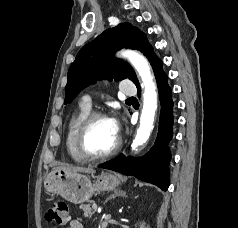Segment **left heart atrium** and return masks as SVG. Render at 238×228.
Listing matches in <instances>:
<instances>
[{"label":"left heart atrium","instance_id":"obj_1","mask_svg":"<svg viewBox=\"0 0 238 228\" xmlns=\"http://www.w3.org/2000/svg\"><path fill=\"white\" fill-rule=\"evenodd\" d=\"M109 120H110V123L112 125L114 133L118 136L119 131H120V126H119L118 119L115 118V117H112V118H109Z\"/></svg>","mask_w":238,"mask_h":228}]
</instances>
